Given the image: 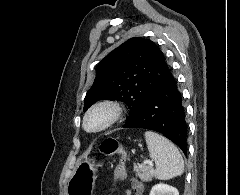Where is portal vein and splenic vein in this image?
I'll return each instance as SVG.
<instances>
[{
    "instance_id": "portal-vein-and-splenic-vein-1",
    "label": "portal vein and splenic vein",
    "mask_w": 240,
    "mask_h": 195,
    "mask_svg": "<svg viewBox=\"0 0 240 195\" xmlns=\"http://www.w3.org/2000/svg\"><path fill=\"white\" fill-rule=\"evenodd\" d=\"M142 163L143 165H145V163H148V165H153V161H151V159H143Z\"/></svg>"
}]
</instances>
